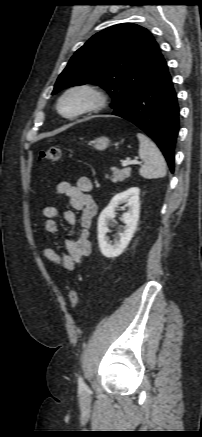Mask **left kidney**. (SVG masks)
Listing matches in <instances>:
<instances>
[{"mask_svg":"<svg viewBox=\"0 0 202 437\" xmlns=\"http://www.w3.org/2000/svg\"><path fill=\"white\" fill-rule=\"evenodd\" d=\"M139 194L140 189L138 187H132L124 192L118 193L101 212L98 219V243L101 253L105 257L114 258L121 255L131 241L139 220ZM122 203H125V207L129 208L128 211L122 215V220L125 223L124 231L119 233L114 244H111L106 235L109 232V226L112 220L116 217L115 208Z\"/></svg>","mask_w":202,"mask_h":437,"instance_id":"1","label":"left kidney"}]
</instances>
